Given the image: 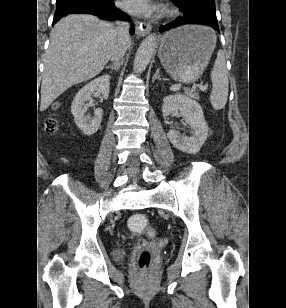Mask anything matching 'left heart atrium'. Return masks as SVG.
Here are the masks:
<instances>
[{
  "label": "left heart atrium",
  "instance_id": "1",
  "mask_svg": "<svg viewBox=\"0 0 286 308\" xmlns=\"http://www.w3.org/2000/svg\"><path fill=\"white\" fill-rule=\"evenodd\" d=\"M123 7L136 15H146L154 9L150 0H124Z\"/></svg>",
  "mask_w": 286,
  "mask_h": 308
}]
</instances>
